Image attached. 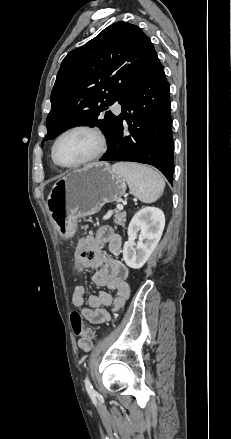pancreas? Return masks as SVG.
Masks as SVG:
<instances>
[{"mask_svg":"<svg viewBox=\"0 0 231 439\" xmlns=\"http://www.w3.org/2000/svg\"><path fill=\"white\" fill-rule=\"evenodd\" d=\"M126 222V213L116 211L114 215V223L120 226H125Z\"/></svg>","mask_w":231,"mask_h":439,"instance_id":"1","label":"pancreas"}]
</instances>
